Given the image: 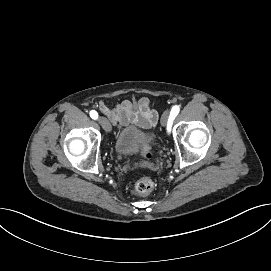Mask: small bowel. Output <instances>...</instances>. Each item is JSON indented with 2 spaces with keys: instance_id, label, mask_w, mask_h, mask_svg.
<instances>
[{
  "instance_id": "small-bowel-1",
  "label": "small bowel",
  "mask_w": 271,
  "mask_h": 271,
  "mask_svg": "<svg viewBox=\"0 0 271 271\" xmlns=\"http://www.w3.org/2000/svg\"><path fill=\"white\" fill-rule=\"evenodd\" d=\"M99 110L109 119L111 124L119 128L132 123L143 129H150L158 121L157 112L150 107V101L145 97L138 101L123 100L114 107L101 101Z\"/></svg>"
}]
</instances>
